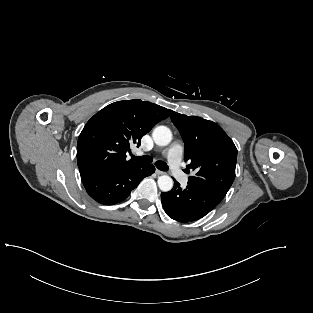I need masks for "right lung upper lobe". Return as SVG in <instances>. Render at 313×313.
<instances>
[{
  "instance_id": "obj_1",
  "label": "right lung upper lobe",
  "mask_w": 313,
  "mask_h": 313,
  "mask_svg": "<svg viewBox=\"0 0 313 313\" xmlns=\"http://www.w3.org/2000/svg\"><path fill=\"white\" fill-rule=\"evenodd\" d=\"M169 115L170 110L138 99L114 102L100 110L78 138L81 178L140 166L127 160L126 153L132 145L139 146L141 138Z\"/></svg>"
}]
</instances>
